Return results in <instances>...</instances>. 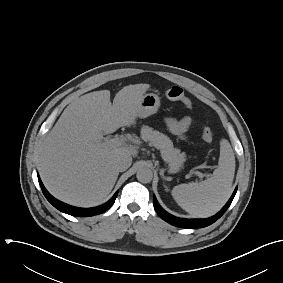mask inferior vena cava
I'll list each match as a JSON object with an SVG mask.
<instances>
[{"mask_svg":"<svg viewBox=\"0 0 283 283\" xmlns=\"http://www.w3.org/2000/svg\"><path fill=\"white\" fill-rule=\"evenodd\" d=\"M131 164L132 158L130 156L119 157L115 162V166L120 172L127 170L131 166Z\"/></svg>","mask_w":283,"mask_h":283,"instance_id":"inferior-vena-cava-1","label":"inferior vena cava"}]
</instances>
